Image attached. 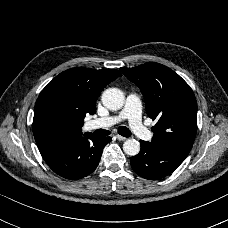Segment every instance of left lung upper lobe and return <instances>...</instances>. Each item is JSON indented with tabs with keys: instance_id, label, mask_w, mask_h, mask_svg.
<instances>
[{
	"instance_id": "5c2ea615",
	"label": "left lung upper lobe",
	"mask_w": 228,
	"mask_h": 228,
	"mask_svg": "<svg viewBox=\"0 0 228 228\" xmlns=\"http://www.w3.org/2000/svg\"><path fill=\"white\" fill-rule=\"evenodd\" d=\"M120 70L140 88L148 116L157 121L151 128L153 147L188 155L197 131V102L189 85L155 62Z\"/></svg>"
}]
</instances>
